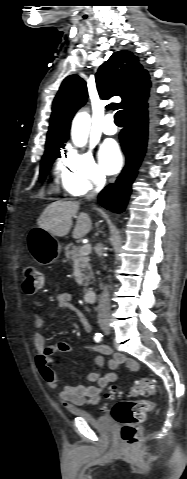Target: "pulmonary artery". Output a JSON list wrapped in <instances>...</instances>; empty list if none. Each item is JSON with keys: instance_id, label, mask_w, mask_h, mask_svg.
Wrapping results in <instances>:
<instances>
[{"instance_id": "1", "label": "pulmonary artery", "mask_w": 187, "mask_h": 479, "mask_svg": "<svg viewBox=\"0 0 187 479\" xmlns=\"http://www.w3.org/2000/svg\"><path fill=\"white\" fill-rule=\"evenodd\" d=\"M102 131H103L104 134L109 135V136L116 134L117 128L114 124V119H113L112 115H108L105 118V121H104V124H103V127H102Z\"/></svg>"}]
</instances>
